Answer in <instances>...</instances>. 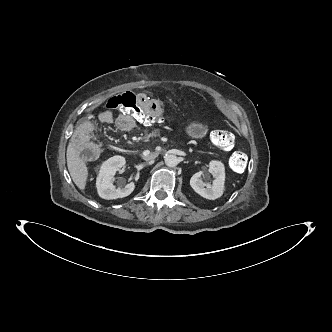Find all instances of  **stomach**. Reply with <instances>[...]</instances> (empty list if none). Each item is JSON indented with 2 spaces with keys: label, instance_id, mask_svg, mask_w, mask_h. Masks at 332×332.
Instances as JSON below:
<instances>
[{
  "label": "stomach",
  "instance_id": "stomach-1",
  "mask_svg": "<svg viewBox=\"0 0 332 332\" xmlns=\"http://www.w3.org/2000/svg\"><path fill=\"white\" fill-rule=\"evenodd\" d=\"M187 133L194 138H200L204 135L205 129L202 125L198 123H192L187 128Z\"/></svg>",
  "mask_w": 332,
  "mask_h": 332
}]
</instances>
